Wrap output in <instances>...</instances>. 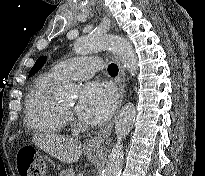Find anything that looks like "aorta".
<instances>
[{
  "instance_id": "aorta-1",
  "label": "aorta",
  "mask_w": 205,
  "mask_h": 176,
  "mask_svg": "<svg viewBox=\"0 0 205 176\" xmlns=\"http://www.w3.org/2000/svg\"><path fill=\"white\" fill-rule=\"evenodd\" d=\"M111 50L121 61L128 72L134 76L137 73V57L131 44L123 37L106 34L80 38L74 43V51L79 55H86L93 52ZM63 94L75 95L76 90L72 86H65ZM136 118L134 104H125L115 122V134L117 141L108 157L107 165L103 176H120L123 166V140L131 131Z\"/></svg>"
}]
</instances>
